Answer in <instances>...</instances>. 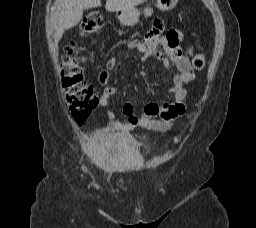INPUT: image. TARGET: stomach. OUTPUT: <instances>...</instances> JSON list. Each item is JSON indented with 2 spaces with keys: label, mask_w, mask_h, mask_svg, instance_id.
<instances>
[{
  "label": "stomach",
  "mask_w": 256,
  "mask_h": 228,
  "mask_svg": "<svg viewBox=\"0 0 256 228\" xmlns=\"http://www.w3.org/2000/svg\"><path fill=\"white\" fill-rule=\"evenodd\" d=\"M178 3V0H157V8L162 11H169L173 9ZM153 13L151 7L144 9V15L150 16ZM116 17L125 26H134L139 22L140 12L134 6L116 11Z\"/></svg>",
  "instance_id": "1"
}]
</instances>
